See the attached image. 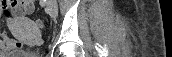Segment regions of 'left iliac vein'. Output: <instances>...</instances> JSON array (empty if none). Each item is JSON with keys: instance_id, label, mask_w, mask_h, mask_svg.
Returning a JSON list of instances; mask_svg holds the SVG:
<instances>
[{"instance_id": "4c4485c4", "label": "left iliac vein", "mask_w": 172, "mask_h": 57, "mask_svg": "<svg viewBox=\"0 0 172 57\" xmlns=\"http://www.w3.org/2000/svg\"><path fill=\"white\" fill-rule=\"evenodd\" d=\"M47 11L52 18H56L58 14V5L55 0H47Z\"/></svg>"}]
</instances>
